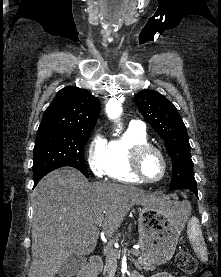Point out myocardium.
Listing matches in <instances>:
<instances>
[{"label": "myocardium", "mask_w": 221, "mask_h": 277, "mask_svg": "<svg viewBox=\"0 0 221 277\" xmlns=\"http://www.w3.org/2000/svg\"><path fill=\"white\" fill-rule=\"evenodd\" d=\"M149 152H155L159 156L162 162V166H163L162 173L160 177L157 179L147 178L142 171V167H141L142 160L144 156ZM130 168L133 174L140 181L144 183L154 184V183L160 182L165 177L168 169V163L163 151L159 147L150 143H146V144L137 145L133 148L130 156Z\"/></svg>", "instance_id": "obj_1"}]
</instances>
